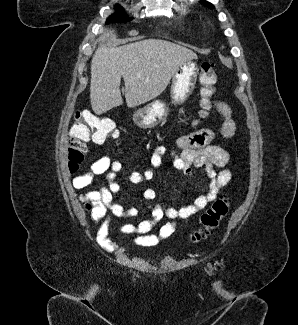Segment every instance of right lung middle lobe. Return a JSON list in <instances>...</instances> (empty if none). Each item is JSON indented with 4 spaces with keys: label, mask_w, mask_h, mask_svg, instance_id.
Listing matches in <instances>:
<instances>
[{
    "label": "right lung middle lobe",
    "mask_w": 298,
    "mask_h": 325,
    "mask_svg": "<svg viewBox=\"0 0 298 325\" xmlns=\"http://www.w3.org/2000/svg\"><path fill=\"white\" fill-rule=\"evenodd\" d=\"M115 9L118 13L113 14L108 17L106 23H114V22H127L130 21L131 19L124 13L123 8L120 5H116Z\"/></svg>",
    "instance_id": "obj_1"
}]
</instances>
